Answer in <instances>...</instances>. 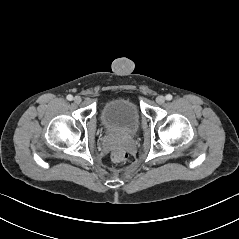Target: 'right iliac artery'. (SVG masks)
I'll return each instance as SVG.
<instances>
[{
	"label": "right iliac artery",
	"instance_id": "82829eb1",
	"mask_svg": "<svg viewBox=\"0 0 239 239\" xmlns=\"http://www.w3.org/2000/svg\"><path fill=\"white\" fill-rule=\"evenodd\" d=\"M67 100H69V101L73 100V96L72 95H68L67 96Z\"/></svg>",
	"mask_w": 239,
	"mask_h": 239
}]
</instances>
